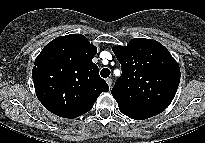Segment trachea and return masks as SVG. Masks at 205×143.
<instances>
[{"instance_id":"1","label":"trachea","mask_w":205,"mask_h":143,"mask_svg":"<svg viewBox=\"0 0 205 143\" xmlns=\"http://www.w3.org/2000/svg\"><path fill=\"white\" fill-rule=\"evenodd\" d=\"M100 75L103 78H107L110 75V70L108 68H103L100 72Z\"/></svg>"}]
</instances>
